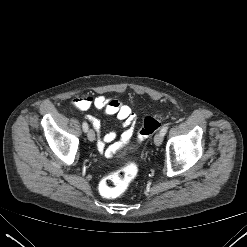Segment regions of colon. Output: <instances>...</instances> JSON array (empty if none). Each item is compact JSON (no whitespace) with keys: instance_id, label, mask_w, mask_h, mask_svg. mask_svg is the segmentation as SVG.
Here are the masks:
<instances>
[{"instance_id":"5ec220e1","label":"colon","mask_w":247,"mask_h":247,"mask_svg":"<svg viewBox=\"0 0 247 247\" xmlns=\"http://www.w3.org/2000/svg\"><path fill=\"white\" fill-rule=\"evenodd\" d=\"M160 126V119L157 115L146 116L137 135L138 141L142 142L150 137L160 128ZM136 173L137 167L132 162L112 172L106 176L100 184L102 194L107 198H114L119 196L134 179Z\"/></svg>"}]
</instances>
